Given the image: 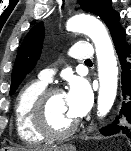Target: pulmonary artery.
I'll return each instance as SVG.
<instances>
[{
  "label": "pulmonary artery",
  "instance_id": "e3ab8cb5",
  "mask_svg": "<svg viewBox=\"0 0 131 151\" xmlns=\"http://www.w3.org/2000/svg\"><path fill=\"white\" fill-rule=\"evenodd\" d=\"M69 55L78 61L85 62L92 59L93 48L88 42H76L70 47ZM53 75L54 71L52 69H45L40 73L39 78L43 82L48 83L52 80Z\"/></svg>",
  "mask_w": 131,
  "mask_h": 151
}]
</instances>
